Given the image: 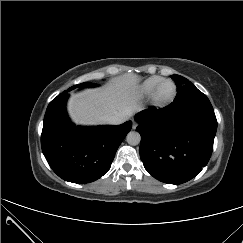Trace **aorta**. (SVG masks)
<instances>
[{"label":"aorta","mask_w":243,"mask_h":243,"mask_svg":"<svg viewBox=\"0 0 243 243\" xmlns=\"http://www.w3.org/2000/svg\"><path fill=\"white\" fill-rule=\"evenodd\" d=\"M126 140H127V143L129 145L135 146V145H138L140 143L141 136L138 132L130 131L127 134Z\"/></svg>","instance_id":"1"}]
</instances>
